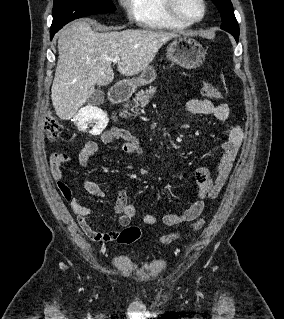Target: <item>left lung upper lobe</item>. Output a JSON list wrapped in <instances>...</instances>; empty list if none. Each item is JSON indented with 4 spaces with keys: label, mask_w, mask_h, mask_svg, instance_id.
<instances>
[{
    "label": "left lung upper lobe",
    "mask_w": 284,
    "mask_h": 319,
    "mask_svg": "<svg viewBox=\"0 0 284 319\" xmlns=\"http://www.w3.org/2000/svg\"><path fill=\"white\" fill-rule=\"evenodd\" d=\"M220 11L222 17L221 29L233 36H239V26L234 15L233 6L230 0H212Z\"/></svg>",
    "instance_id": "obj_1"
}]
</instances>
